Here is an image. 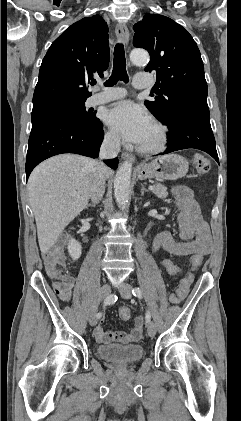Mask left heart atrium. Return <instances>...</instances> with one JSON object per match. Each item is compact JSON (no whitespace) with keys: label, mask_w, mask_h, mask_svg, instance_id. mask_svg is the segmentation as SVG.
I'll list each match as a JSON object with an SVG mask.
<instances>
[{"label":"left heart atrium","mask_w":241,"mask_h":421,"mask_svg":"<svg viewBox=\"0 0 241 421\" xmlns=\"http://www.w3.org/2000/svg\"><path fill=\"white\" fill-rule=\"evenodd\" d=\"M104 120L125 142L135 144L144 140L152 126L148 112L129 100L111 105L105 112Z\"/></svg>","instance_id":"1"}]
</instances>
